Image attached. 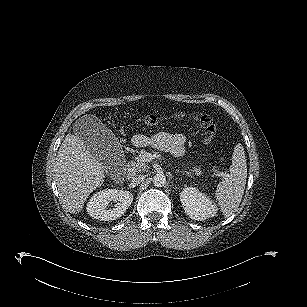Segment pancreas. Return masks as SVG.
Returning <instances> with one entry per match:
<instances>
[{
	"mask_svg": "<svg viewBox=\"0 0 307 307\" xmlns=\"http://www.w3.org/2000/svg\"><path fill=\"white\" fill-rule=\"evenodd\" d=\"M145 155H146L145 153L141 152L139 156L136 158V164H137L138 169H143L146 167ZM203 172L204 170L200 166L190 167L189 170L186 171L187 175L195 174L196 176L202 175ZM209 175L214 177V176H221L222 174L216 171H212V174L209 173Z\"/></svg>",
	"mask_w": 307,
	"mask_h": 307,
	"instance_id": "1",
	"label": "pancreas"
}]
</instances>
